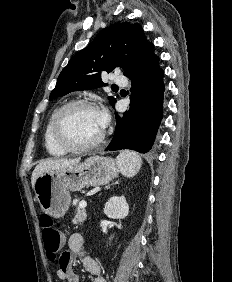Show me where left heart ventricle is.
<instances>
[{
	"label": "left heart ventricle",
	"instance_id": "1",
	"mask_svg": "<svg viewBox=\"0 0 232 282\" xmlns=\"http://www.w3.org/2000/svg\"><path fill=\"white\" fill-rule=\"evenodd\" d=\"M98 112L87 107H74L66 112L60 133L69 142L77 145L95 141L102 133Z\"/></svg>",
	"mask_w": 232,
	"mask_h": 282
}]
</instances>
